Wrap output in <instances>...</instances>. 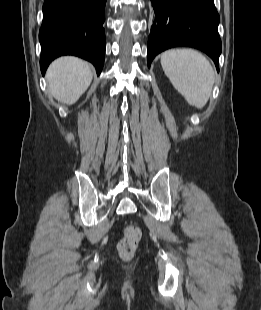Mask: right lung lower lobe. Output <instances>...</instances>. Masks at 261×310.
Wrapping results in <instances>:
<instances>
[{
	"label": "right lung lower lobe",
	"instance_id": "right-lung-lower-lobe-1",
	"mask_svg": "<svg viewBox=\"0 0 261 310\" xmlns=\"http://www.w3.org/2000/svg\"><path fill=\"white\" fill-rule=\"evenodd\" d=\"M106 0H45L39 31L40 67L61 55H75L94 64L99 75L103 68Z\"/></svg>",
	"mask_w": 261,
	"mask_h": 310
}]
</instances>
